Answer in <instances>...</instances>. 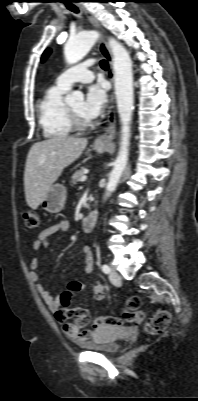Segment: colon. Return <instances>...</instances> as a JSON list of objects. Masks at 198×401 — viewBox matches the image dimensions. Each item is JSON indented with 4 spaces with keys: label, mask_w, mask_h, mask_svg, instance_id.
Segmentation results:
<instances>
[{
    "label": "colon",
    "mask_w": 198,
    "mask_h": 401,
    "mask_svg": "<svg viewBox=\"0 0 198 401\" xmlns=\"http://www.w3.org/2000/svg\"><path fill=\"white\" fill-rule=\"evenodd\" d=\"M22 219L24 226L28 229H36L39 227V218L37 214L30 210L22 211ZM77 285L71 282L68 290L61 296V302L69 308L70 297L75 293ZM141 300L138 296H130L125 303V311L121 317L102 316L95 319V321L102 326H122L126 323H140L145 318V313L140 309ZM68 311L79 316L80 325L88 324L90 318L88 312L83 308L68 309ZM170 322V314L165 310L156 311L145 323L146 331L150 334L161 333Z\"/></svg>",
    "instance_id": "5ec220e1"
}]
</instances>
